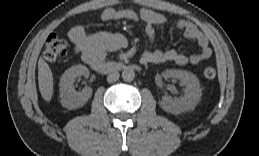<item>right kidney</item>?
<instances>
[{"instance_id": "1", "label": "right kidney", "mask_w": 259, "mask_h": 156, "mask_svg": "<svg viewBox=\"0 0 259 156\" xmlns=\"http://www.w3.org/2000/svg\"><path fill=\"white\" fill-rule=\"evenodd\" d=\"M79 76H89V70L86 66H72L60 78V102L67 109H77L84 106L92 96L90 87H86L80 92L75 90L74 82Z\"/></svg>"}]
</instances>
